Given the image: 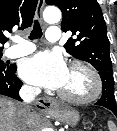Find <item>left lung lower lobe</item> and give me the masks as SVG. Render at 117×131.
<instances>
[{
	"instance_id": "left-lung-lower-lobe-1",
	"label": "left lung lower lobe",
	"mask_w": 117,
	"mask_h": 131,
	"mask_svg": "<svg viewBox=\"0 0 117 131\" xmlns=\"http://www.w3.org/2000/svg\"><path fill=\"white\" fill-rule=\"evenodd\" d=\"M105 95L106 96L110 95L106 89L103 90L102 97L100 98V100L97 103H95V105H99V106H103V107L108 108L117 117V107H116V105H110V104H108V101H103V98H104Z\"/></svg>"
}]
</instances>
